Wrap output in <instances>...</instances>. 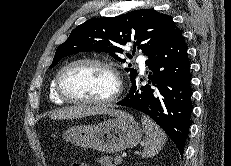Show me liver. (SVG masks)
I'll list each match as a JSON object with an SVG mask.
<instances>
[{
  "label": "liver",
  "instance_id": "1",
  "mask_svg": "<svg viewBox=\"0 0 231 166\" xmlns=\"http://www.w3.org/2000/svg\"><path fill=\"white\" fill-rule=\"evenodd\" d=\"M123 113L108 107H82V106H71L60 108L51 113L52 119H79L85 116L107 114L110 116H118Z\"/></svg>",
  "mask_w": 231,
  "mask_h": 166
}]
</instances>
